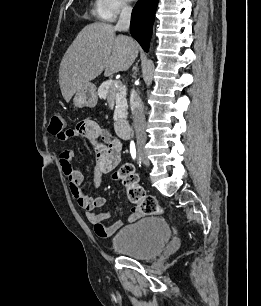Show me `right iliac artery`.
I'll list each match as a JSON object with an SVG mask.
<instances>
[{
  "label": "right iliac artery",
  "mask_w": 261,
  "mask_h": 306,
  "mask_svg": "<svg viewBox=\"0 0 261 306\" xmlns=\"http://www.w3.org/2000/svg\"><path fill=\"white\" fill-rule=\"evenodd\" d=\"M130 153L133 159L136 158V147L134 141H131L130 143Z\"/></svg>",
  "instance_id": "82829eb1"
}]
</instances>
